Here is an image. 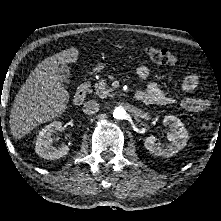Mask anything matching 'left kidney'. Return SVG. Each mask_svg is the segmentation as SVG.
Here are the masks:
<instances>
[{
	"instance_id": "5707ae66",
	"label": "left kidney",
	"mask_w": 221,
	"mask_h": 221,
	"mask_svg": "<svg viewBox=\"0 0 221 221\" xmlns=\"http://www.w3.org/2000/svg\"><path fill=\"white\" fill-rule=\"evenodd\" d=\"M163 124L170 127V132L167 133L169 143L161 145L153 136H149L144 140V146L155 156L169 158L187 145L189 135L184 124L175 116H165Z\"/></svg>"
}]
</instances>
